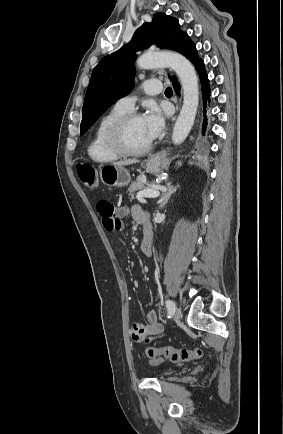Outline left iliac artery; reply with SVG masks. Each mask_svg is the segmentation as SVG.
<instances>
[{"instance_id": "left-iliac-artery-1", "label": "left iliac artery", "mask_w": 283, "mask_h": 434, "mask_svg": "<svg viewBox=\"0 0 283 434\" xmlns=\"http://www.w3.org/2000/svg\"><path fill=\"white\" fill-rule=\"evenodd\" d=\"M165 304H166L168 315L169 316L172 315L176 309L175 303L171 300H166Z\"/></svg>"}]
</instances>
